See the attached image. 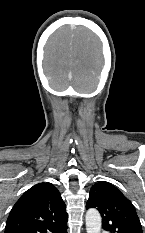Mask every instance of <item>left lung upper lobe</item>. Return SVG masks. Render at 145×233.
Segmentation results:
<instances>
[{"label": "left lung upper lobe", "instance_id": "obj_1", "mask_svg": "<svg viewBox=\"0 0 145 233\" xmlns=\"http://www.w3.org/2000/svg\"><path fill=\"white\" fill-rule=\"evenodd\" d=\"M86 208H96L110 233H143L133 204L114 185L98 182L91 187Z\"/></svg>", "mask_w": 145, "mask_h": 233}]
</instances>
